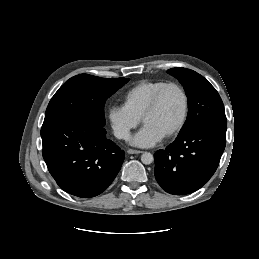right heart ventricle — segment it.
Segmentation results:
<instances>
[{
	"label": "right heart ventricle",
	"instance_id": "1",
	"mask_svg": "<svg viewBox=\"0 0 259 259\" xmlns=\"http://www.w3.org/2000/svg\"><path fill=\"white\" fill-rule=\"evenodd\" d=\"M166 80H142L123 95V106L134 116L141 118L155 93L166 84Z\"/></svg>",
	"mask_w": 259,
	"mask_h": 259
}]
</instances>
